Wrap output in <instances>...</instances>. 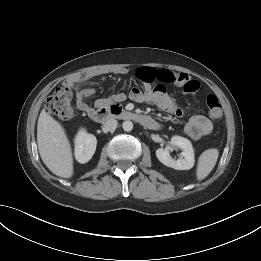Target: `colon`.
Here are the masks:
<instances>
[{
  "label": "colon",
  "instance_id": "obj_1",
  "mask_svg": "<svg viewBox=\"0 0 261 261\" xmlns=\"http://www.w3.org/2000/svg\"><path fill=\"white\" fill-rule=\"evenodd\" d=\"M209 117L217 120L222 116V108L218 98L210 94L206 99ZM46 110L56 115L62 120H69L74 116V108L72 105V91L67 84L59 85L52 96L46 101Z\"/></svg>",
  "mask_w": 261,
  "mask_h": 261
}]
</instances>
